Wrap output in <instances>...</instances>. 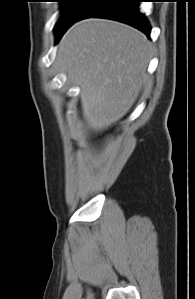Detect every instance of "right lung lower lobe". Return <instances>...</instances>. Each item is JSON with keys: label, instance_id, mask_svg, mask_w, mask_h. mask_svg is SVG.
Returning a JSON list of instances; mask_svg holds the SVG:
<instances>
[{"label": "right lung lower lobe", "instance_id": "obj_1", "mask_svg": "<svg viewBox=\"0 0 195 299\" xmlns=\"http://www.w3.org/2000/svg\"><path fill=\"white\" fill-rule=\"evenodd\" d=\"M138 3L139 0H93L74 22L89 17L107 18L129 24L149 37L151 27L145 16L140 12Z\"/></svg>", "mask_w": 195, "mask_h": 299}]
</instances>
